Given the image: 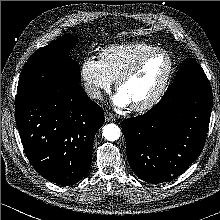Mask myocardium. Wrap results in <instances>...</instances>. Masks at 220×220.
<instances>
[{
  "instance_id": "myocardium-1",
  "label": "myocardium",
  "mask_w": 220,
  "mask_h": 220,
  "mask_svg": "<svg viewBox=\"0 0 220 220\" xmlns=\"http://www.w3.org/2000/svg\"><path fill=\"white\" fill-rule=\"evenodd\" d=\"M157 54H163L168 58L169 70H168L162 84L158 88V90L149 99L145 100L142 103L131 106L132 110H134L136 112H143V111H146V110L153 108L163 98V96L165 95V93L171 83V80L173 78L174 71H175V61H174L173 57L170 55V53L168 51H166L162 48H155V49L143 54L141 57H139L129 68H127L124 72H122L116 79V84H115L116 89L119 90L120 86L126 80L133 77L140 70V68L142 67V65L144 64V62L146 60H148L149 58H151Z\"/></svg>"
}]
</instances>
